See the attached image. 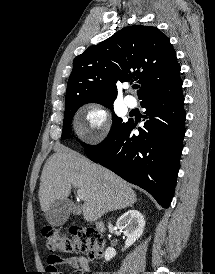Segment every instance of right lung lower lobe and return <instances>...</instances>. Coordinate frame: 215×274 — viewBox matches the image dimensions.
I'll use <instances>...</instances> for the list:
<instances>
[{"mask_svg":"<svg viewBox=\"0 0 215 274\" xmlns=\"http://www.w3.org/2000/svg\"><path fill=\"white\" fill-rule=\"evenodd\" d=\"M182 88L157 94L141 102L146 108L144 128L133 134L135 124L126 122L96 146L85 149L94 162L126 181L148 191L163 207L172 200L185 133Z\"/></svg>","mask_w":215,"mask_h":274,"instance_id":"1","label":"right lung lower lobe"}]
</instances>
